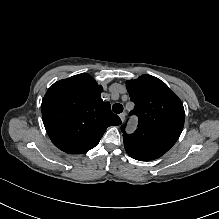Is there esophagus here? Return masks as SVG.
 Wrapping results in <instances>:
<instances>
[{
    "label": "esophagus",
    "instance_id": "obj_1",
    "mask_svg": "<svg viewBox=\"0 0 219 219\" xmlns=\"http://www.w3.org/2000/svg\"><path fill=\"white\" fill-rule=\"evenodd\" d=\"M119 117L123 123L125 121V113L123 112V113L119 114Z\"/></svg>",
    "mask_w": 219,
    "mask_h": 219
}]
</instances>
